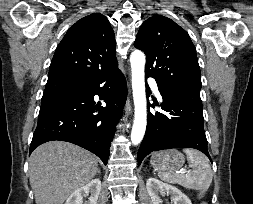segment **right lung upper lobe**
Masks as SVG:
<instances>
[{
  "label": "right lung upper lobe",
  "mask_w": 253,
  "mask_h": 204,
  "mask_svg": "<svg viewBox=\"0 0 253 204\" xmlns=\"http://www.w3.org/2000/svg\"><path fill=\"white\" fill-rule=\"evenodd\" d=\"M115 36L108 19L100 13L77 21L58 45L47 82L77 84L91 81L118 68Z\"/></svg>",
  "instance_id": "obj_1"
}]
</instances>
